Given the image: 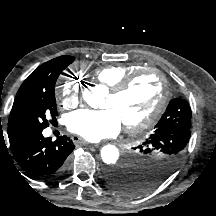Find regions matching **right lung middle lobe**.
Here are the masks:
<instances>
[{"mask_svg":"<svg viewBox=\"0 0 216 216\" xmlns=\"http://www.w3.org/2000/svg\"><path fill=\"white\" fill-rule=\"evenodd\" d=\"M67 59L57 63L51 79L34 86L26 92L22 101L10 114L8 136L28 130H43L48 127L47 115H58L55 99V83L59 74L73 62Z\"/></svg>","mask_w":216,"mask_h":216,"instance_id":"right-lung-middle-lobe-1","label":"right lung middle lobe"}]
</instances>
